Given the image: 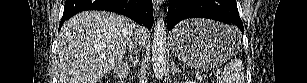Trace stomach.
Returning <instances> with one entry per match:
<instances>
[{
	"mask_svg": "<svg viewBox=\"0 0 307 83\" xmlns=\"http://www.w3.org/2000/svg\"><path fill=\"white\" fill-rule=\"evenodd\" d=\"M241 35L234 26L205 19H192L173 30L171 49L185 64L200 68H217L233 57Z\"/></svg>",
	"mask_w": 307,
	"mask_h": 83,
	"instance_id": "0dacf381",
	"label": "stomach"
}]
</instances>
